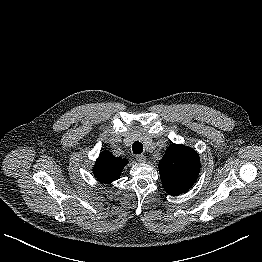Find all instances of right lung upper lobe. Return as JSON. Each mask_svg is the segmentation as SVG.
Segmentation results:
<instances>
[{
	"label": "right lung upper lobe",
	"mask_w": 262,
	"mask_h": 262,
	"mask_svg": "<svg viewBox=\"0 0 262 262\" xmlns=\"http://www.w3.org/2000/svg\"><path fill=\"white\" fill-rule=\"evenodd\" d=\"M127 163L126 159L116 158L110 152L104 151L96 160L93 168L94 176L101 183H111L120 178Z\"/></svg>",
	"instance_id": "1"
}]
</instances>
